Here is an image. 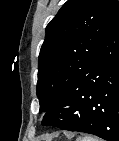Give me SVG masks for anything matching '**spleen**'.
<instances>
[{"label": "spleen", "instance_id": "1", "mask_svg": "<svg viewBox=\"0 0 119 141\" xmlns=\"http://www.w3.org/2000/svg\"><path fill=\"white\" fill-rule=\"evenodd\" d=\"M77 141H98V139L91 136H84L79 138Z\"/></svg>", "mask_w": 119, "mask_h": 141}]
</instances>
